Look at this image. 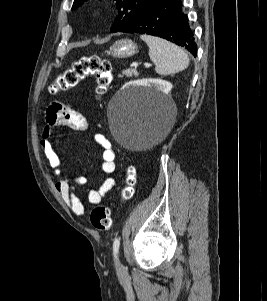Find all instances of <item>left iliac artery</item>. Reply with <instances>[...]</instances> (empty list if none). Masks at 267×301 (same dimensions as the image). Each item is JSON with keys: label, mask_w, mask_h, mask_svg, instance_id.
<instances>
[{"label": "left iliac artery", "mask_w": 267, "mask_h": 301, "mask_svg": "<svg viewBox=\"0 0 267 301\" xmlns=\"http://www.w3.org/2000/svg\"><path fill=\"white\" fill-rule=\"evenodd\" d=\"M119 246H120V238H115V240L113 242V254H114L115 259H117Z\"/></svg>", "instance_id": "left-iliac-artery-1"}]
</instances>
